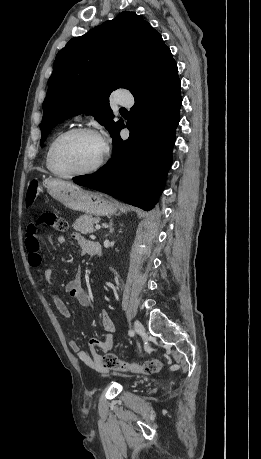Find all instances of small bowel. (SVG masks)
Masks as SVG:
<instances>
[{
  "label": "small bowel",
  "instance_id": "1",
  "mask_svg": "<svg viewBox=\"0 0 261 459\" xmlns=\"http://www.w3.org/2000/svg\"><path fill=\"white\" fill-rule=\"evenodd\" d=\"M49 237V234H46ZM72 238L77 242L81 253L83 254H92L91 241L84 239L79 233H73ZM54 240L57 244H64L66 237L64 235H55ZM25 247L28 252V262L31 267H38L42 261V254L40 249L39 237L36 234L34 238H27L25 240ZM52 275L53 268L49 267L44 273V278L47 284L52 285ZM66 292L75 299L80 305L84 307H89L91 304L90 298L85 293L81 286V270L78 268L75 272L74 277L67 283ZM52 301L56 310L66 318L71 317V311L66 305V303L56 294H52ZM101 325L104 330V335L100 339H91L90 347L91 353L88 354L86 351L80 348L79 342L77 339H73L69 342V346L73 352H75L78 358L87 366L101 371L103 370L102 366V352L110 351L114 346V331L115 325L109 316L108 312L103 310L100 314Z\"/></svg>",
  "mask_w": 261,
  "mask_h": 459
}]
</instances>
